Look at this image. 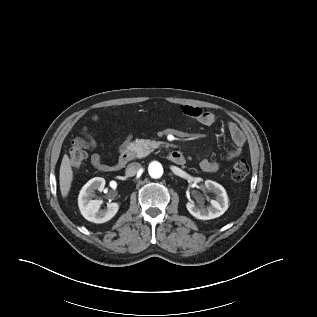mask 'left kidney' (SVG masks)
<instances>
[{"mask_svg": "<svg viewBox=\"0 0 317 317\" xmlns=\"http://www.w3.org/2000/svg\"><path fill=\"white\" fill-rule=\"evenodd\" d=\"M205 187L207 190L216 195L215 200L210 201L211 206L205 207L203 204L196 206L193 201L186 204V208L189 213L195 218L201 220L217 218L224 214V212L228 209V196L223 186L212 180H206Z\"/></svg>", "mask_w": 317, "mask_h": 317, "instance_id": "5707ae66", "label": "left kidney"}]
</instances>
